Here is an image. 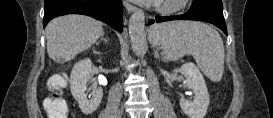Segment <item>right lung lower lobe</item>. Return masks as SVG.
I'll list each match as a JSON object with an SVG mask.
<instances>
[{
  "label": "right lung lower lobe",
  "instance_id": "98d812e1",
  "mask_svg": "<svg viewBox=\"0 0 273 118\" xmlns=\"http://www.w3.org/2000/svg\"><path fill=\"white\" fill-rule=\"evenodd\" d=\"M66 14L88 15L119 32L123 29V4L120 0H45L43 27L54 17Z\"/></svg>",
  "mask_w": 273,
  "mask_h": 118
}]
</instances>
